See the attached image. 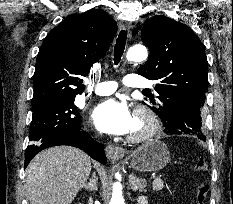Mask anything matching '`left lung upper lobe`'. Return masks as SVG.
<instances>
[{
  "instance_id": "1",
  "label": "left lung upper lobe",
  "mask_w": 233,
  "mask_h": 204,
  "mask_svg": "<svg viewBox=\"0 0 233 204\" xmlns=\"http://www.w3.org/2000/svg\"><path fill=\"white\" fill-rule=\"evenodd\" d=\"M141 37L150 55L138 74L158 82V96L147 100L148 107L160 115L164 104L177 95L205 96L207 57L201 41L188 26L166 16H153L145 23ZM191 133L183 130L182 134Z\"/></svg>"
}]
</instances>
